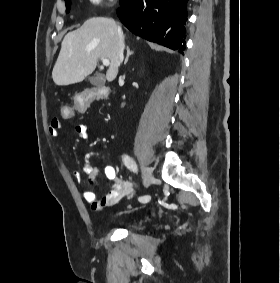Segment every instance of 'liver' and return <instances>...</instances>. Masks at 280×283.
<instances>
[{"label":"liver","instance_id":"6515ba94","mask_svg":"<svg viewBox=\"0 0 280 283\" xmlns=\"http://www.w3.org/2000/svg\"><path fill=\"white\" fill-rule=\"evenodd\" d=\"M119 34L116 22L106 17H94L63 39L52 71L56 85L81 82L96 68L99 58H107L110 66L106 79L111 82L119 68Z\"/></svg>","mask_w":280,"mask_h":283}]
</instances>
